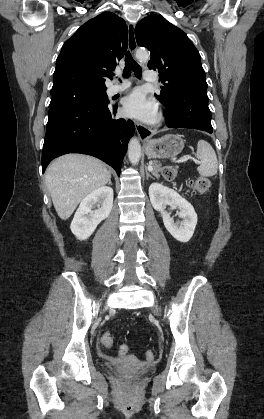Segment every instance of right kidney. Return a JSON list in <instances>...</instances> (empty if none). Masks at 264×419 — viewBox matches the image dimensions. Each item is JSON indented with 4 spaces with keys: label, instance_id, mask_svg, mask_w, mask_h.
I'll return each mask as SVG.
<instances>
[{
    "label": "right kidney",
    "instance_id": "obj_1",
    "mask_svg": "<svg viewBox=\"0 0 264 419\" xmlns=\"http://www.w3.org/2000/svg\"><path fill=\"white\" fill-rule=\"evenodd\" d=\"M98 206V209L93 210ZM113 206V189L100 187L88 194L80 203L73 221L71 231L79 240L88 239L98 224L106 219Z\"/></svg>",
    "mask_w": 264,
    "mask_h": 419
}]
</instances>
